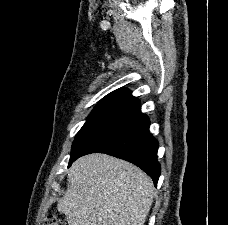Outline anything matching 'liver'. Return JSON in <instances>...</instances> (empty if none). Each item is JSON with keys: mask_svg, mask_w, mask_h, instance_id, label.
<instances>
[{"mask_svg": "<svg viewBox=\"0 0 228 225\" xmlns=\"http://www.w3.org/2000/svg\"><path fill=\"white\" fill-rule=\"evenodd\" d=\"M67 173L57 209L68 225H144L155 189L141 169L93 153L77 159Z\"/></svg>", "mask_w": 228, "mask_h": 225, "instance_id": "1", "label": "liver"}]
</instances>
